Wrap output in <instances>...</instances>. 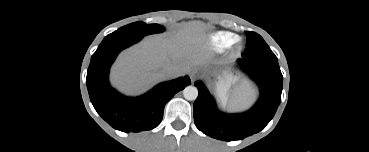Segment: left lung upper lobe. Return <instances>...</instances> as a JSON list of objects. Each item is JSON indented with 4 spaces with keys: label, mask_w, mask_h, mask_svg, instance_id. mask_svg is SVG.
I'll return each mask as SVG.
<instances>
[{
    "label": "left lung upper lobe",
    "mask_w": 369,
    "mask_h": 152,
    "mask_svg": "<svg viewBox=\"0 0 369 152\" xmlns=\"http://www.w3.org/2000/svg\"><path fill=\"white\" fill-rule=\"evenodd\" d=\"M247 37V49L242 57L249 59H269L277 60V57L270 50L263 38L255 32H245Z\"/></svg>",
    "instance_id": "obj_1"
}]
</instances>
